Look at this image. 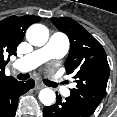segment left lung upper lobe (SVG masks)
Returning <instances> with one entry per match:
<instances>
[{"instance_id":"5c2ea615","label":"left lung upper lobe","mask_w":117,"mask_h":117,"mask_svg":"<svg viewBox=\"0 0 117 117\" xmlns=\"http://www.w3.org/2000/svg\"><path fill=\"white\" fill-rule=\"evenodd\" d=\"M51 21L70 40L65 68L67 74L74 75L77 84L70 90V96L95 111L106 93L109 77L106 53L102 45L73 19L51 18Z\"/></svg>"}]
</instances>
